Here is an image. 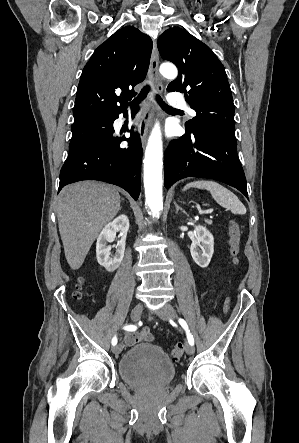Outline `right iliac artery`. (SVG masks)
I'll return each mask as SVG.
<instances>
[{"label":"right iliac artery","mask_w":299,"mask_h":443,"mask_svg":"<svg viewBox=\"0 0 299 443\" xmlns=\"http://www.w3.org/2000/svg\"><path fill=\"white\" fill-rule=\"evenodd\" d=\"M123 329L127 330V331H135L137 329L136 325H126L123 327ZM112 345L115 346L117 344V337H113L112 339Z\"/></svg>","instance_id":"1"}]
</instances>
